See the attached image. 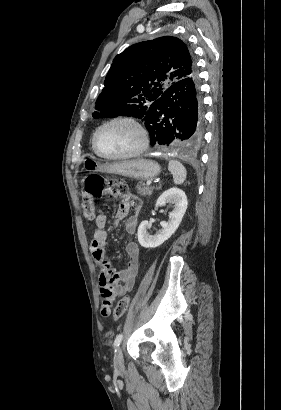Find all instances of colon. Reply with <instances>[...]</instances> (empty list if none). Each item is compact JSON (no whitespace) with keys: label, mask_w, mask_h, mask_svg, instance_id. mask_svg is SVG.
<instances>
[{"label":"colon","mask_w":281,"mask_h":410,"mask_svg":"<svg viewBox=\"0 0 281 410\" xmlns=\"http://www.w3.org/2000/svg\"><path fill=\"white\" fill-rule=\"evenodd\" d=\"M116 194L125 195L127 189L123 184H116L113 188ZM106 194L104 178L98 174H92L85 177L84 190L81 193L82 208L85 217L91 219L94 217L95 200ZM109 302L105 303L102 309L103 313H108ZM131 304L129 296L123 297L115 306L113 311L114 320H120L128 311Z\"/></svg>","instance_id":"5ec220e1"}]
</instances>
